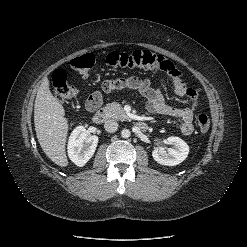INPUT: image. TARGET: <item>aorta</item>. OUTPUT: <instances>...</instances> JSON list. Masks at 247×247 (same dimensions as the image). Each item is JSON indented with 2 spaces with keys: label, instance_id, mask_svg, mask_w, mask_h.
<instances>
[{
  "label": "aorta",
  "instance_id": "aorta-1",
  "mask_svg": "<svg viewBox=\"0 0 247 247\" xmlns=\"http://www.w3.org/2000/svg\"><path fill=\"white\" fill-rule=\"evenodd\" d=\"M130 134H131V132H130V130L129 129H123L122 131H121V136L123 137V138H129L130 137Z\"/></svg>",
  "mask_w": 247,
  "mask_h": 247
}]
</instances>
